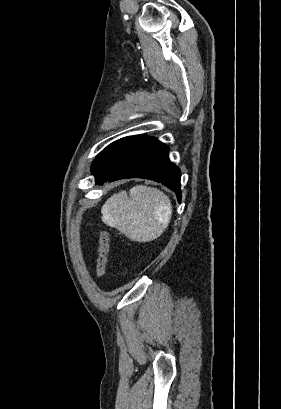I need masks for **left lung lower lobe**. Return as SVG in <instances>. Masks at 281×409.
<instances>
[{
  "label": "left lung lower lobe",
  "instance_id": "left-lung-lower-lobe-1",
  "mask_svg": "<svg viewBox=\"0 0 281 409\" xmlns=\"http://www.w3.org/2000/svg\"><path fill=\"white\" fill-rule=\"evenodd\" d=\"M169 148L154 137H147L111 159L94 174L96 184L123 178H146L164 184L181 200L180 169L170 162Z\"/></svg>",
  "mask_w": 281,
  "mask_h": 409
}]
</instances>
